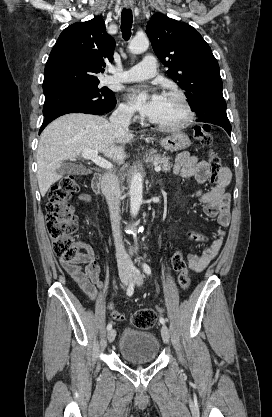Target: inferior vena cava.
<instances>
[{"instance_id": "inferior-vena-cava-1", "label": "inferior vena cava", "mask_w": 272, "mask_h": 417, "mask_svg": "<svg viewBox=\"0 0 272 417\" xmlns=\"http://www.w3.org/2000/svg\"><path fill=\"white\" fill-rule=\"evenodd\" d=\"M132 115L133 111L131 109L127 107H119L112 113L109 120L115 128L128 131ZM101 190L106 197L109 207L119 275L130 276L134 270V265L124 249L120 234L119 212L121 192L119 182L115 174L111 172L104 174L101 181Z\"/></svg>"}]
</instances>
